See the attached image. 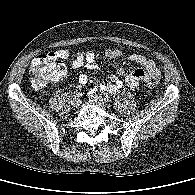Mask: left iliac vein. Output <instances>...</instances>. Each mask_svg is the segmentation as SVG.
<instances>
[{"label": "left iliac vein", "instance_id": "1", "mask_svg": "<svg viewBox=\"0 0 195 195\" xmlns=\"http://www.w3.org/2000/svg\"><path fill=\"white\" fill-rule=\"evenodd\" d=\"M90 102H92L98 106H101L103 108H105L107 106V102L104 100V98H102L100 96H91Z\"/></svg>", "mask_w": 195, "mask_h": 195}]
</instances>
